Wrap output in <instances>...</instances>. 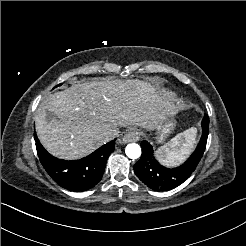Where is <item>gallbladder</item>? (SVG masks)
<instances>
[{
	"label": "gallbladder",
	"mask_w": 246,
	"mask_h": 246,
	"mask_svg": "<svg viewBox=\"0 0 246 246\" xmlns=\"http://www.w3.org/2000/svg\"><path fill=\"white\" fill-rule=\"evenodd\" d=\"M54 117V114L52 112H47V119L50 120Z\"/></svg>",
	"instance_id": "bac80fb5"
}]
</instances>
